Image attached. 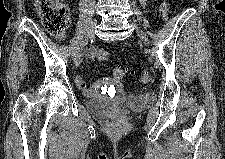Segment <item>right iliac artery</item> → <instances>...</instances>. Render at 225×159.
Returning <instances> with one entry per match:
<instances>
[{"label":"right iliac artery","instance_id":"1","mask_svg":"<svg viewBox=\"0 0 225 159\" xmlns=\"http://www.w3.org/2000/svg\"><path fill=\"white\" fill-rule=\"evenodd\" d=\"M87 44V43H86ZM80 49V47L78 46L77 48H76V52L78 51Z\"/></svg>","mask_w":225,"mask_h":159}]
</instances>
